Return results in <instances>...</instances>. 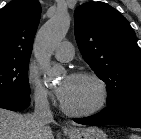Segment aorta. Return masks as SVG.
Returning <instances> with one entry per match:
<instances>
[{
    "label": "aorta",
    "mask_w": 141,
    "mask_h": 139,
    "mask_svg": "<svg viewBox=\"0 0 141 139\" xmlns=\"http://www.w3.org/2000/svg\"><path fill=\"white\" fill-rule=\"evenodd\" d=\"M70 27V16L57 13L39 31L35 42V57L44 70V81L49 83L59 76V71L51 68L50 58L56 46L65 38Z\"/></svg>",
    "instance_id": "1"
}]
</instances>
